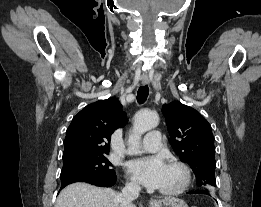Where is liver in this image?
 Returning <instances> with one entry per match:
<instances>
[{"instance_id": "6515ba94", "label": "liver", "mask_w": 261, "mask_h": 207, "mask_svg": "<svg viewBox=\"0 0 261 207\" xmlns=\"http://www.w3.org/2000/svg\"><path fill=\"white\" fill-rule=\"evenodd\" d=\"M118 197L119 193L110 188L76 182L60 192L55 207H120Z\"/></svg>"}]
</instances>
